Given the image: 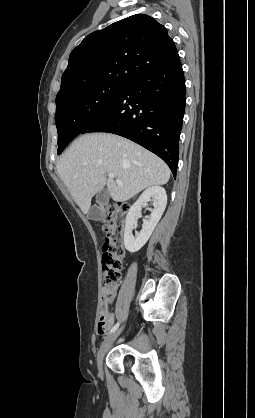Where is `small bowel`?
<instances>
[{"label":"small bowel","mask_w":255,"mask_h":418,"mask_svg":"<svg viewBox=\"0 0 255 418\" xmlns=\"http://www.w3.org/2000/svg\"><path fill=\"white\" fill-rule=\"evenodd\" d=\"M113 294H114V289H113ZM108 303H109V301H107L104 304V306L101 310V313L106 316V326H105L104 330H99L98 329V333L100 335H103L107 331V329H109L112 326V324L114 323L115 316H114V313H112L108 310Z\"/></svg>","instance_id":"1"}]
</instances>
